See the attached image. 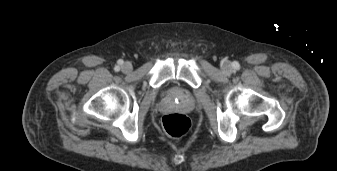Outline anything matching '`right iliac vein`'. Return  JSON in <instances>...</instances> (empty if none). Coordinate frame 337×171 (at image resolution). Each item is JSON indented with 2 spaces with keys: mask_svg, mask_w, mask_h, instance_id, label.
I'll return each instance as SVG.
<instances>
[{
  "mask_svg": "<svg viewBox=\"0 0 337 171\" xmlns=\"http://www.w3.org/2000/svg\"><path fill=\"white\" fill-rule=\"evenodd\" d=\"M121 69H122V71H123L124 73H129V72H131V70H132V65H131L129 62H125V63L122 65Z\"/></svg>",
  "mask_w": 337,
  "mask_h": 171,
  "instance_id": "obj_1",
  "label": "right iliac vein"
}]
</instances>
